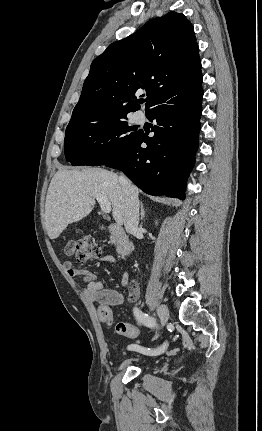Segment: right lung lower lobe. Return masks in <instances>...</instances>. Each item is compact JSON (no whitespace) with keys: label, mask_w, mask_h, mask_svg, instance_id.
<instances>
[{"label":"right lung lower lobe","mask_w":262,"mask_h":431,"mask_svg":"<svg viewBox=\"0 0 262 431\" xmlns=\"http://www.w3.org/2000/svg\"><path fill=\"white\" fill-rule=\"evenodd\" d=\"M203 89L193 95L154 109L147 115L156 120L153 137L139 132L124 151L104 165L123 171L150 195L184 199L186 180L198 148ZM147 147L142 148L141 144Z\"/></svg>","instance_id":"98d812e1"}]
</instances>
